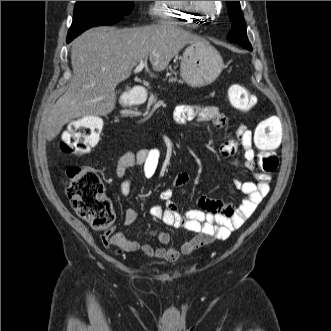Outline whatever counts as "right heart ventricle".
I'll return each instance as SVG.
<instances>
[{"label":"right heart ventricle","mask_w":331,"mask_h":331,"mask_svg":"<svg viewBox=\"0 0 331 331\" xmlns=\"http://www.w3.org/2000/svg\"><path fill=\"white\" fill-rule=\"evenodd\" d=\"M151 13L159 22L176 23L188 27L196 26L211 15L208 9L197 11L191 8L189 1H153Z\"/></svg>","instance_id":"e07e8e85"}]
</instances>
